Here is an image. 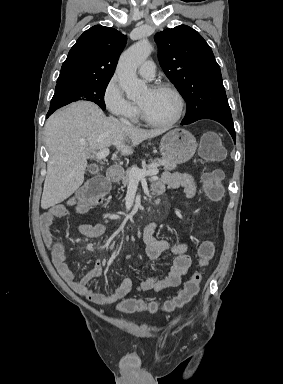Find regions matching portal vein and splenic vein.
Returning <instances> with one entry per match:
<instances>
[{
    "label": "portal vein and splenic vein",
    "instance_id": "portal-vein-and-splenic-vein-1",
    "mask_svg": "<svg viewBox=\"0 0 283 384\" xmlns=\"http://www.w3.org/2000/svg\"><path fill=\"white\" fill-rule=\"evenodd\" d=\"M95 156L97 160H104V158L109 156V148H102V150H99ZM91 158H94V156H91ZM157 174H159L157 168H153V170H138V168H132V170H130V180L131 182H139V180H143L145 176L157 178Z\"/></svg>",
    "mask_w": 283,
    "mask_h": 384
}]
</instances>
